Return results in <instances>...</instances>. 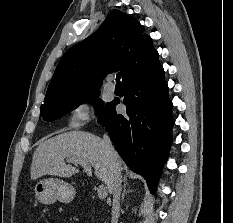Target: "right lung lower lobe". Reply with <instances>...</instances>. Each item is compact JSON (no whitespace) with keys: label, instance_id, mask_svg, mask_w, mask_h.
<instances>
[{"label":"right lung lower lobe","instance_id":"right-lung-lower-lobe-1","mask_svg":"<svg viewBox=\"0 0 233 223\" xmlns=\"http://www.w3.org/2000/svg\"><path fill=\"white\" fill-rule=\"evenodd\" d=\"M126 114L108 103L98 114L118 153L155 193L156 182L172 143V103L160 62L124 81Z\"/></svg>","mask_w":233,"mask_h":223}]
</instances>
